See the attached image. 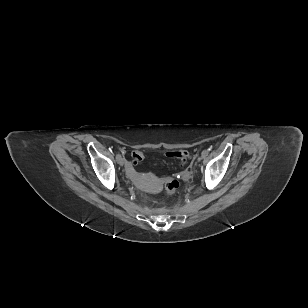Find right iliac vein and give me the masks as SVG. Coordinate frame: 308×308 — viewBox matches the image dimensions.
I'll return each instance as SVG.
<instances>
[{"label": "right iliac vein", "instance_id": "obj_1", "mask_svg": "<svg viewBox=\"0 0 308 308\" xmlns=\"http://www.w3.org/2000/svg\"><path fill=\"white\" fill-rule=\"evenodd\" d=\"M117 162H118V164H120L121 166H123L124 164H125V162H126V160H125V158H123V157H119V159L117 160Z\"/></svg>", "mask_w": 308, "mask_h": 308}]
</instances>
